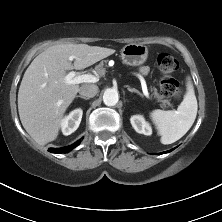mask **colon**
Returning <instances> with one entry per match:
<instances>
[{"label":"colon","mask_w":222,"mask_h":222,"mask_svg":"<svg viewBox=\"0 0 222 222\" xmlns=\"http://www.w3.org/2000/svg\"><path fill=\"white\" fill-rule=\"evenodd\" d=\"M157 66L162 74L160 80V92L164 97L179 99L182 88L179 82L172 77L179 70V62L168 53H161L157 57Z\"/></svg>","instance_id":"colon-1"}]
</instances>
